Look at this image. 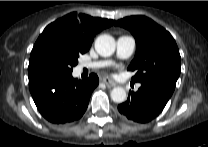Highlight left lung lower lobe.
Listing matches in <instances>:
<instances>
[{"label":"left lung lower lobe","mask_w":208,"mask_h":147,"mask_svg":"<svg viewBox=\"0 0 208 147\" xmlns=\"http://www.w3.org/2000/svg\"><path fill=\"white\" fill-rule=\"evenodd\" d=\"M174 88L161 81L141 82L137 92H131L127 101L118 105L122 117L146 123L158 116L170 99Z\"/></svg>","instance_id":"0a47b994"}]
</instances>
